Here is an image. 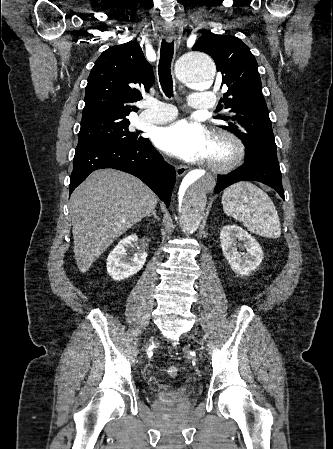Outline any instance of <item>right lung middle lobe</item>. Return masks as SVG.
<instances>
[{
  "mask_svg": "<svg viewBox=\"0 0 333 449\" xmlns=\"http://www.w3.org/2000/svg\"><path fill=\"white\" fill-rule=\"evenodd\" d=\"M129 125V120H124L81 127L78 145L97 142L137 145L143 142L145 138L139 136V132H130L128 129Z\"/></svg>",
  "mask_w": 333,
  "mask_h": 449,
  "instance_id": "obj_1",
  "label": "right lung middle lobe"
}]
</instances>
